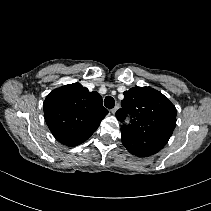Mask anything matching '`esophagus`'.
<instances>
[{"label": "esophagus", "instance_id": "1", "mask_svg": "<svg viewBox=\"0 0 211 211\" xmlns=\"http://www.w3.org/2000/svg\"><path fill=\"white\" fill-rule=\"evenodd\" d=\"M117 110H118V106H115L113 109H111V113L115 114Z\"/></svg>", "mask_w": 211, "mask_h": 211}]
</instances>
